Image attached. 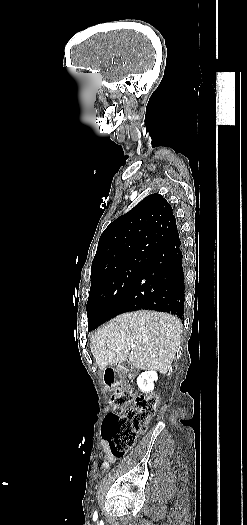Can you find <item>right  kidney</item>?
Listing matches in <instances>:
<instances>
[{
    "label": "right kidney",
    "mask_w": 247,
    "mask_h": 525,
    "mask_svg": "<svg viewBox=\"0 0 247 525\" xmlns=\"http://www.w3.org/2000/svg\"><path fill=\"white\" fill-rule=\"evenodd\" d=\"M155 381H158V375L156 371H144L139 377H137V385L142 393H150L155 389Z\"/></svg>",
    "instance_id": "ca27d5eb"
}]
</instances>
